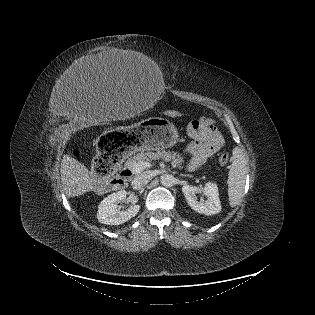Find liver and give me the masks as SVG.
<instances>
[{"mask_svg": "<svg viewBox=\"0 0 315 315\" xmlns=\"http://www.w3.org/2000/svg\"><path fill=\"white\" fill-rule=\"evenodd\" d=\"M127 53L110 52L91 55L80 62L78 69L81 73L96 74L117 70L120 59ZM123 117H128L127 109L123 108ZM61 182L67 197H78L96 188L97 178L89 169L70 155H64L61 162Z\"/></svg>", "mask_w": 315, "mask_h": 315, "instance_id": "liver-1", "label": "liver"}]
</instances>
